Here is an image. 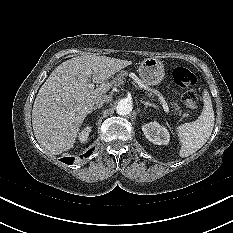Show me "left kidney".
Returning <instances> with one entry per match:
<instances>
[{
    "instance_id": "obj_1",
    "label": "left kidney",
    "mask_w": 233,
    "mask_h": 233,
    "mask_svg": "<svg viewBox=\"0 0 233 233\" xmlns=\"http://www.w3.org/2000/svg\"><path fill=\"white\" fill-rule=\"evenodd\" d=\"M142 131L145 137L156 145H167L170 140V135L166 127L158 122H150L142 126Z\"/></svg>"
}]
</instances>
